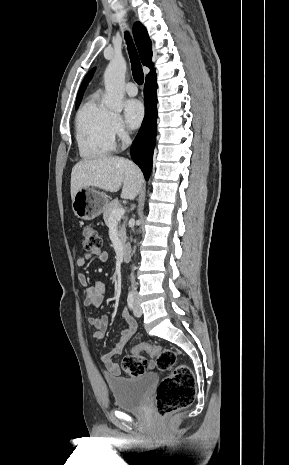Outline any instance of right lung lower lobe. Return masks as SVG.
Instances as JSON below:
<instances>
[{"mask_svg":"<svg viewBox=\"0 0 289 465\" xmlns=\"http://www.w3.org/2000/svg\"><path fill=\"white\" fill-rule=\"evenodd\" d=\"M156 89V76L147 78L144 89L146 115L130 149L133 161L141 168L146 180L150 176L156 140Z\"/></svg>","mask_w":289,"mask_h":465,"instance_id":"right-lung-lower-lobe-1","label":"right lung lower lobe"}]
</instances>
